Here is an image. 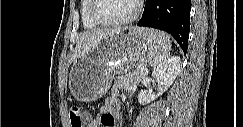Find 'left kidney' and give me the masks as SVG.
<instances>
[{
	"label": "left kidney",
	"mask_w": 243,
	"mask_h": 127,
	"mask_svg": "<svg viewBox=\"0 0 243 127\" xmlns=\"http://www.w3.org/2000/svg\"><path fill=\"white\" fill-rule=\"evenodd\" d=\"M180 70V57L172 56L163 64L154 69L152 76L158 83V92L152 93L147 90H141L138 94V102L142 105L154 101L158 96L162 95L175 80Z\"/></svg>",
	"instance_id": "obj_1"
}]
</instances>
